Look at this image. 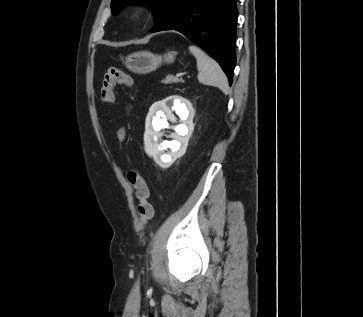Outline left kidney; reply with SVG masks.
Instances as JSON below:
<instances>
[{
	"label": "left kidney",
	"mask_w": 363,
	"mask_h": 317,
	"mask_svg": "<svg viewBox=\"0 0 363 317\" xmlns=\"http://www.w3.org/2000/svg\"><path fill=\"white\" fill-rule=\"evenodd\" d=\"M172 111L180 117V124L173 126L175 133L170 137L174 140L158 143L163 136L161 130L169 126V121L176 118ZM194 109L192 104L177 95L169 96L162 101L154 103L146 118L144 144L146 153L162 167H169L175 160L186 152L188 141L194 130L193 126ZM167 148L171 149L169 154H163Z\"/></svg>",
	"instance_id": "1"
}]
</instances>
